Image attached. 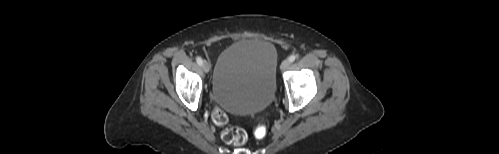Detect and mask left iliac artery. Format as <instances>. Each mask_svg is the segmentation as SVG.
I'll use <instances>...</instances> for the list:
<instances>
[{"label":"left iliac artery","instance_id":"1","mask_svg":"<svg viewBox=\"0 0 499 154\" xmlns=\"http://www.w3.org/2000/svg\"><path fill=\"white\" fill-rule=\"evenodd\" d=\"M296 58H297V56H296V55H291V56L288 58V60H289L290 62H294Z\"/></svg>","mask_w":499,"mask_h":154}]
</instances>
